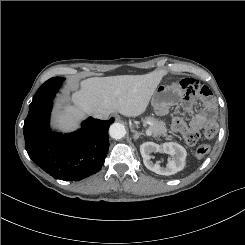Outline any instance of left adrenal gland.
<instances>
[{"mask_svg":"<svg viewBox=\"0 0 245 245\" xmlns=\"http://www.w3.org/2000/svg\"><path fill=\"white\" fill-rule=\"evenodd\" d=\"M131 132L134 133L133 138H134L135 141H137L138 138H139L141 135H144V133L138 132V131L133 130V129H131Z\"/></svg>","mask_w":245,"mask_h":245,"instance_id":"1","label":"left adrenal gland"}]
</instances>
